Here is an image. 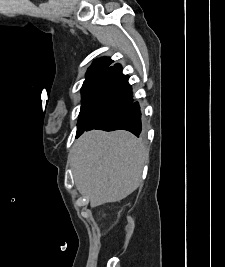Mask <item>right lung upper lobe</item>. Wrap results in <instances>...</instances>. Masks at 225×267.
<instances>
[{"label":"right lung upper lobe","mask_w":225,"mask_h":267,"mask_svg":"<svg viewBox=\"0 0 225 267\" xmlns=\"http://www.w3.org/2000/svg\"><path fill=\"white\" fill-rule=\"evenodd\" d=\"M110 58L103 57L95 60L86 74V80H96L112 63Z\"/></svg>","instance_id":"right-lung-upper-lobe-1"}]
</instances>
